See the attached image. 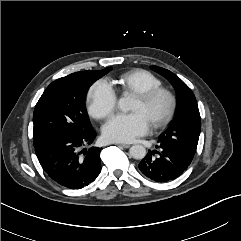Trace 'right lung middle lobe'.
<instances>
[{
    "label": "right lung middle lobe",
    "instance_id": "obj_1",
    "mask_svg": "<svg viewBox=\"0 0 241 241\" xmlns=\"http://www.w3.org/2000/svg\"><path fill=\"white\" fill-rule=\"evenodd\" d=\"M111 70L72 73L52 82L37 102L33 115V142L38 147L64 135H81L92 129L85 96L89 87Z\"/></svg>",
    "mask_w": 241,
    "mask_h": 241
}]
</instances>
